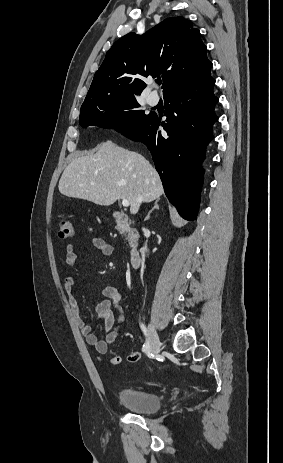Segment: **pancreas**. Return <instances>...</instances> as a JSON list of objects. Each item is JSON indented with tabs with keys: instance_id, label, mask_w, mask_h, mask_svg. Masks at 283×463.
I'll use <instances>...</instances> for the list:
<instances>
[{
	"instance_id": "1",
	"label": "pancreas",
	"mask_w": 283,
	"mask_h": 463,
	"mask_svg": "<svg viewBox=\"0 0 283 463\" xmlns=\"http://www.w3.org/2000/svg\"><path fill=\"white\" fill-rule=\"evenodd\" d=\"M117 229L121 234H124V235H126V232L129 230L127 226L124 229H122L121 227H118Z\"/></svg>"
}]
</instances>
